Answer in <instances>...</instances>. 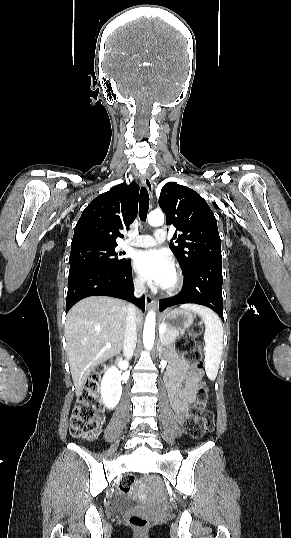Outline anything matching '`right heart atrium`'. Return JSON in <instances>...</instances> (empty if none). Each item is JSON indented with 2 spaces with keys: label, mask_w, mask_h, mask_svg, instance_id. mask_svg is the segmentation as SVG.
Here are the masks:
<instances>
[{
  "label": "right heart atrium",
  "mask_w": 291,
  "mask_h": 538,
  "mask_svg": "<svg viewBox=\"0 0 291 538\" xmlns=\"http://www.w3.org/2000/svg\"><path fill=\"white\" fill-rule=\"evenodd\" d=\"M134 283H135L136 287H138V288H142V282H141L140 279L135 278V279H134Z\"/></svg>",
  "instance_id": "d8ad5b80"
}]
</instances>
